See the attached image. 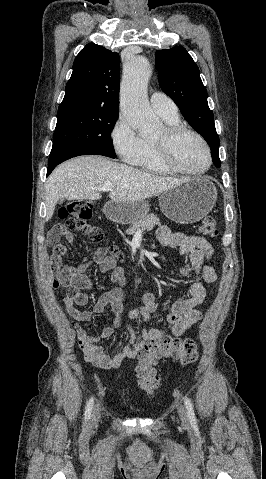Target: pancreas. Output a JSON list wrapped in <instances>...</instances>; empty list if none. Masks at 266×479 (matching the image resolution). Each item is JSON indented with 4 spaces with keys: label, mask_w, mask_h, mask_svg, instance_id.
<instances>
[{
    "label": "pancreas",
    "mask_w": 266,
    "mask_h": 479,
    "mask_svg": "<svg viewBox=\"0 0 266 479\" xmlns=\"http://www.w3.org/2000/svg\"><path fill=\"white\" fill-rule=\"evenodd\" d=\"M160 220L157 215L151 213L146 215L144 218L139 219L135 222H132V225L129 229L126 230L127 234L133 235L137 231L151 230L155 225H160Z\"/></svg>",
    "instance_id": "1"
}]
</instances>
